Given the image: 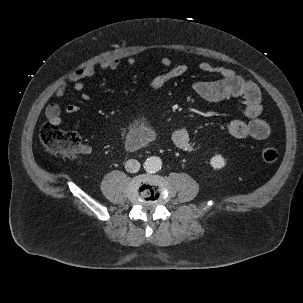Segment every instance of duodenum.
Listing matches in <instances>:
<instances>
[{
  "mask_svg": "<svg viewBox=\"0 0 303 303\" xmlns=\"http://www.w3.org/2000/svg\"><path fill=\"white\" fill-rule=\"evenodd\" d=\"M153 137V134L146 130H136L131 132L128 137L126 144L130 149H137L143 144L150 141Z\"/></svg>",
  "mask_w": 303,
  "mask_h": 303,
  "instance_id": "410a0bca",
  "label": "duodenum"
}]
</instances>
